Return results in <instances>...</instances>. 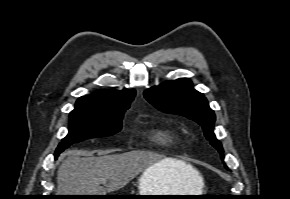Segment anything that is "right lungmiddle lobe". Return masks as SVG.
I'll list each match as a JSON object with an SVG mask.
<instances>
[{
	"label": "right lung middle lobe",
	"mask_w": 290,
	"mask_h": 199,
	"mask_svg": "<svg viewBox=\"0 0 290 199\" xmlns=\"http://www.w3.org/2000/svg\"><path fill=\"white\" fill-rule=\"evenodd\" d=\"M124 112L92 113L72 111L69 116V133L59 143L55 157L73 143L96 137H107L118 133L122 127Z\"/></svg>",
	"instance_id": "dd1d6c3e"
}]
</instances>
